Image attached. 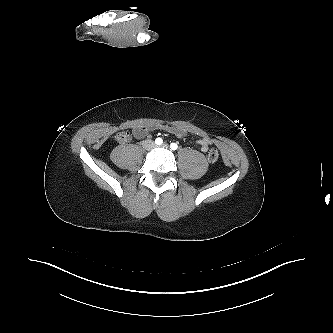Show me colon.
<instances>
[{"label":"colon","instance_id":"1","mask_svg":"<svg viewBox=\"0 0 333 333\" xmlns=\"http://www.w3.org/2000/svg\"><path fill=\"white\" fill-rule=\"evenodd\" d=\"M131 138L130 134L128 132L122 131V132H118L115 135V139L119 142V143H125L127 141H129ZM208 160L210 162H216L219 158V153L216 149H211L208 152Z\"/></svg>","mask_w":333,"mask_h":333}]
</instances>
